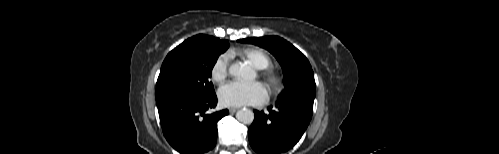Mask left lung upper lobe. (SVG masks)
Here are the masks:
<instances>
[{
    "label": "left lung upper lobe",
    "mask_w": 499,
    "mask_h": 154,
    "mask_svg": "<svg viewBox=\"0 0 499 154\" xmlns=\"http://www.w3.org/2000/svg\"><path fill=\"white\" fill-rule=\"evenodd\" d=\"M238 42L265 48L280 63L284 73V90L278 100L294 95L314 96L316 84L312 67L307 58L291 43L278 36L252 37Z\"/></svg>",
    "instance_id": "obj_1"
}]
</instances>
